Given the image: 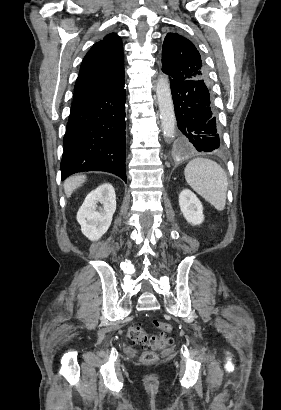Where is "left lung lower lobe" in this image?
Returning a JSON list of instances; mask_svg holds the SVG:
<instances>
[{"label":"left lung lower lobe","mask_w":281,"mask_h":410,"mask_svg":"<svg viewBox=\"0 0 281 410\" xmlns=\"http://www.w3.org/2000/svg\"><path fill=\"white\" fill-rule=\"evenodd\" d=\"M170 88L184 145L199 152L218 150L221 141L208 82L170 79Z\"/></svg>","instance_id":"1"}]
</instances>
